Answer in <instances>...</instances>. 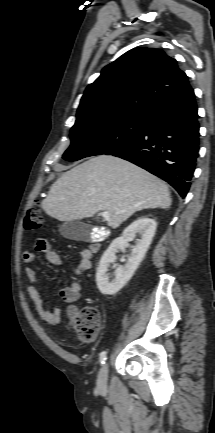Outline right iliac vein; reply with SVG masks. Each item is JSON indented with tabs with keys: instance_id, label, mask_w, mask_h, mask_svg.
<instances>
[{
	"instance_id": "1",
	"label": "right iliac vein",
	"mask_w": 215,
	"mask_h": 433,
	"mask_svg": "<svg viewBox=\"0 0 215 433\" xmlns=\"http://www.w3.org/2000/svg\"><path fill=\"white\" fill-rule=\"evenodd\" d=\"M107 376H108V364H104L102 368L99 371L98 379H97V385L98 387H104L107 382Z\"/></svg>"
}]
</instances>
